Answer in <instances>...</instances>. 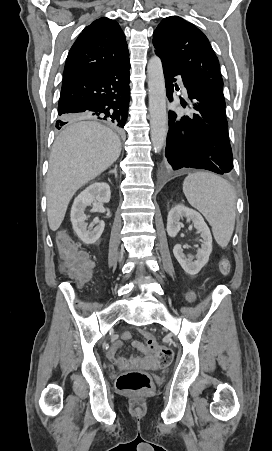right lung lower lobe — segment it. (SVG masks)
<instances>
[{
	"instance_id": "obj_1",
	"label": "right lung lower lobe",
	"mask_w": 272,
	"mask_h": 451,
	"mask_svg": "<svg viewBox=\"0 0 272 451\" xmlns=\"http://www.w3.org/2000/svg\"><path fill=\"white\" fill-rule=\"evenodd\" d=\"M129 58L111 68L64 82L56 127L71 120L94 118L124 128L130 100Z\"/></svg>"
}]
</instances>
